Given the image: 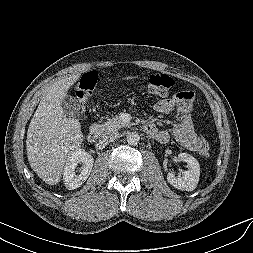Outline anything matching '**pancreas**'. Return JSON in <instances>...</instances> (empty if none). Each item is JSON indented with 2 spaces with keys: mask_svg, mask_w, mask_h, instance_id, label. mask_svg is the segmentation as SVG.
<instances>
[{
  "mask_svg": "<svg viewBox=\"0 0 253 253\" xmlns=\"http://www.w3.org/2000/svg\"><path fill=\"white\" fill-rule=\"evenodd\" d=\"M125 126H128V124L124 123L120 116L108 118L105 123L98 125L99 131L102 135L115 132Z\"/></svg>",
  "mask_w": 253,
  "mask_h": 253,
  "instance_id": "cf45deb5",
  "label": "pancreas"
}]
</instances>
